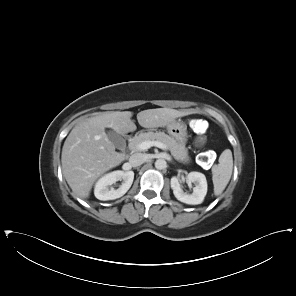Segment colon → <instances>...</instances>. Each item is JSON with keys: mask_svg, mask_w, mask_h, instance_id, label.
<instances>
[{"mask_svg": "<svg viewBox=\"0 0 296 296\" xmlns=\"http://www.w3.org/2000/svg\"><path fill=\"white\" fill-rule=\"evenodd\" d=\"M189 125L196 136V144L203 145L206 142L207 126L205 122L203 120L193 119L189 122ZM199 160L201 163H208L210 161V154H201Z\"/></svg>", "mask_w": 296, "mask_h": 296, "instance_id": "colon-1", "label": "colon"}]
</instances>
